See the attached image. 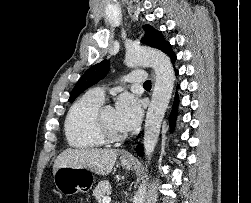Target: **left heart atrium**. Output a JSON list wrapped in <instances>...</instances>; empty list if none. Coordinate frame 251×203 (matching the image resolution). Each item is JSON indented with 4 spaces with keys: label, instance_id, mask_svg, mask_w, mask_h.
I'll list each match as a JSON object with an SVG mask.
<instances>
[{
    "label": "left heart atrium",
    "instance_id": "left-heart-atrium-1",
    "mask_svg": "<svg viewBox=\"0 0 251 203\" xmlns=\"http://www.w3.org/2000/svg\"><path fill=\"white\" fill-rule=\"evenodd\" d=\"M116 124L122 132L135 130L142 119V108L137 97L130 93L120 95L115 106Z\"/></svg>",
    "mask_w": 251,
    "mask_h": 203
}]
</instances>
